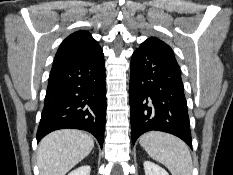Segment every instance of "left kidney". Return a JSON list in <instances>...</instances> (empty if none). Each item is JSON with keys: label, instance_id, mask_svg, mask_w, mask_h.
<instances>
[{"label": "left kidney", "instance_id": "1", "mask_svg": "<svg viewBox=\"0 0 233 175\" xmlns=\"http://www.w3.org/2000/svg\"><path fill=\"white\" fill-rule=\"evenodd\" d=\"M145 175H169L168 172L159 165L151 162H144Z\"/></svg>", "mask_w": 233, "mask_h": 175}]
</instances>
